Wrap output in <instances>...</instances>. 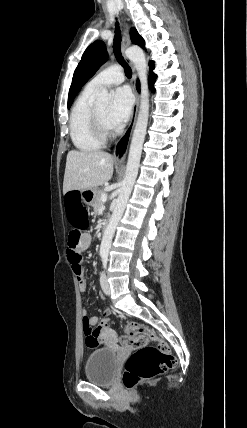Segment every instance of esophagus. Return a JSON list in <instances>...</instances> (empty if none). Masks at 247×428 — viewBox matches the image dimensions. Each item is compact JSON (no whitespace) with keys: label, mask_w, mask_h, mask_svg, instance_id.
<instances>
[{"label":"esophagus","mask_w":247,"mask_h":428,"mask_svg":"<svg viewBox=\"0 0 247 428\" xmlns=\"http://www.w3.org/2000/svg\"><path fill=\"white\" fill-rule=\"evenodd\" d=\"M129 31H130V28H129V26H127L126 30H125V39H124V42L122 45V54H123L125 61L129 63V65L131 66V69H132V73H133L132 74V88H133V92L135 94L136 100H135V104H134V107L132 110V116H131L130 122H129L126 130L124 131L123 135L117 141L116 146L114 148V161H115V163H117L119 165L123 164V161H124L126 154H127L129 142H130L131 135H132V132L134 129L135 121H136L137 108H138V103H139V98H138V94H137V90H136L135 69H134L132 63L128 60V58L124 54L125 48L129 42Z\"/></svg>","instance_id":"1"}]
</instances>
